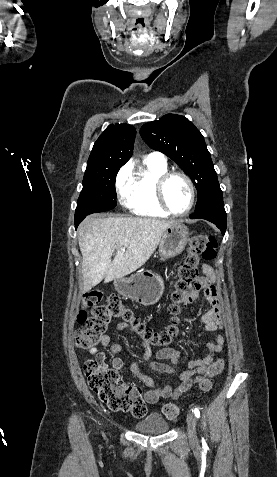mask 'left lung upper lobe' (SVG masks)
Wrapping results in <instances>:
<instances>
[{
    "label": "left lung upper lobe",
    "mask_w": 277,
    "mask_h": 477,
    "mask_svg": "<svg viewBox=\"0 0 277 477\" xmlns=\"http://www.w3.org/2000/svg\"><path fill=\"white\" fill-rule=\"evenodd\" d=\"M140 134L152 149L166 154L192 179L198 192L195 211L222 193L204 138L187 118L167 114L144 124Z\"/></svg>",
    "instance_id": "obj_1"
}]
</instances>
